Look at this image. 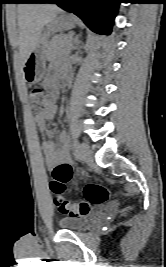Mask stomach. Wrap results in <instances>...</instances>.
<instances>
[{"label": "stomach", "instance_id": "stomach-1", "mask_svg": "<svg viewBox=\"0 0 166 267\" xmlns=\"http://www.w3.org/2000/svg\"><path fill=\"white\" fill-rule=\"evenodd\" d=\"M75 26V21L72 17L61 12L41 33L33 50L28 55L23 64V77L30 84L40 82L46 73V53L49 45V37L56 32L70 30Z\"/></svg>", "mask_w": 166, "mask_h": 267}]
</instances>
